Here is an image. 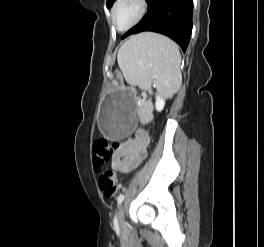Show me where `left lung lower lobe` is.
Masks as SVG:
<instances>
[{
	"label": "left lung lower lobe",
	"mask_w": 264,
	"mask_h": 247,
	"mask_svg": "<svg viewBox=\"0 0 264 247\" xmlns=\"http://www.w3.org/2000/svg\"><path fill=\"white\" fill-rule=\"evenodd\" d=\"M148 12L141 22L130 29L131 34L153 31L164 34L180 45L185 52L192 32V0H146Z\"/></svg>",
	"instance_id": "obj_1"
}]
</instances>
